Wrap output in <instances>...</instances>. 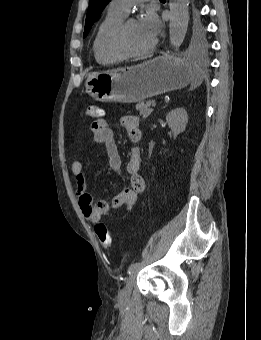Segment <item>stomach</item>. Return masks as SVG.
Listing matches in <instances>:
<instances>
[{
    "label": "stomach",
    "mask_w": 261,
    "mask_h": 340,
    "mask_svg": "<svg viewBox=\"0 0 261 340\" xmlns=\"http://www.w3.org/2000/svg\"><path fill=\"white\" fill-rule=\"evenodd\" d=\"M195 73L186 61L159 56L139 65L92 73L85 87L97 101L135 103L182 89Z\"/></svg>",
    "instance_id": "0dacf381"
}]
</instances>
